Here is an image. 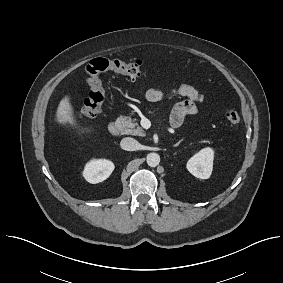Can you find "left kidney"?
<instances>
[{"instance_id": "left-kidney-1", "label": "left kidney", "mask_w": 283, "mask_h": 283, "mask_svg": "<svg viewBox=\"0 0 283 283\" xmlns=\"http://www.w3.org/2000/svg\"><path fill=\"white\" fill-rule=\"evenodd\" d=\"M214 151L207 147L200 150L187 162L188 171L197 178L208 179L213 169Z\"/></svg>"}]
</instances>
